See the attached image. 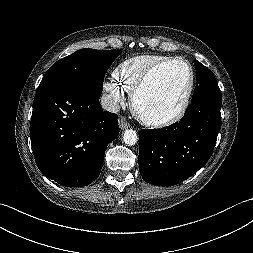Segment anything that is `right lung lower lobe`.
<instances>
[{
    "label": "right lung lower lobe",
    "mask_w": 253,
    "mask_h": 253,
    "mask_svg": "<svg viewBox=\"0 0 253 253\" xmlns=\"http://www.w3.org/2000/svg\"><path fill=\"white\" fill-rule=\"evenodd\" d=\"M100 95L71 83L37 89L30 122L34 158L39 170L62 186L93 182L109 142L119 134L118 117L103 111Z\"/></svg>",
    "instance_id": "obj_1"
}]
</instances>
